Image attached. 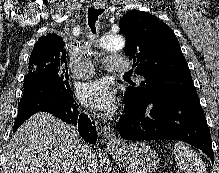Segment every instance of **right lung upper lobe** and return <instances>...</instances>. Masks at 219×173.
I'll return each mask as SVG.
<instances>
[{"instance_id": "obj_1", "label": "right lung upper lobe", "mask_w": 219, "mask_h": 173, "mask_svg": "<svg viewBox=\"0 0 219 173\" xmlns=\"http://www.w3.org/2000/svg\"><path fill=\"white\" fill-rule=\"evenodd\" d=\"M62 37L55 33L42 36L35 44L29 62H51L67 69L66 50Z\"/></svg>"}]
</instances>
